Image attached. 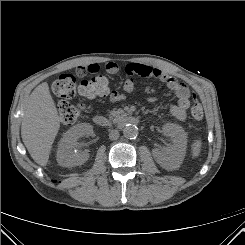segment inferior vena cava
I'll return each mask as SVG.
<instances>
[{"mask_svg":"<svg viewBox=\"0 0 245 245\" xmlns=\"http://www.w3.org/2000/svg\"><path fill=\"white\" fill-rule=\"evenodd\" d=\"M109 138L111 140H116L119 138V132L118 130H111L110 133H109Z\"/></svg>","mask_w":245,"mask_h":245,"instance_id":"1","label":"inferior vena cava"}]
</instances>
